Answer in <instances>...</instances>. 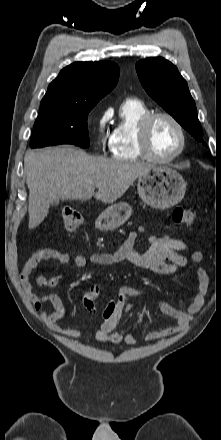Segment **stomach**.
Masks as SVG:
<instances>
[{
	"mask_svg": "<svg viewBox=\"0 0 221 440\" xmlns=\"http://www.w3.org/2000/svg\"><path fill=\"white\" fill-rule=\"evenodd\" d=\"M140 198L157 209H166L179 203L186 192V182L174 169L166 166H153L137 182ZM132 214L131 206L119 202L103 211L95 222L102 231L113 230L125 223Z\"/></svg>",
	"mask_w": 221,
	"mask_h": 440,
	"instance_id": "stomach-1",
	"label": "stomach"
}]
</instances>
